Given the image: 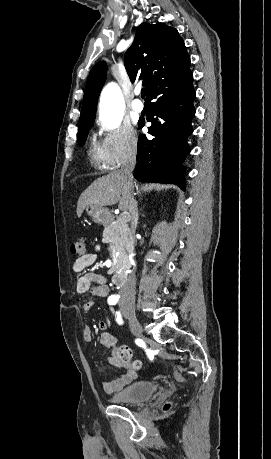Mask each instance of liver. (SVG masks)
Segmentation results:
<instances>
[{"instance_id":"liver-1","label":"liver","mask_w":271,"mask_h":459,"mask_svg":"<svg viewBox=\"0 0 271 459\" xmlns=\"http://www.w3.org/2000/svg\"><path fill=\"white\" fill-rule=\"evenodd\" d=\"M131 184L132 180L118 172H110L108 176L97 178L83 194H81L77 202V216L81 218L85 206L98 204V206H113L118 204L119 210H130L131 202ZM121 194L123 198H121Z\"/></svg>"}]
</instances>
